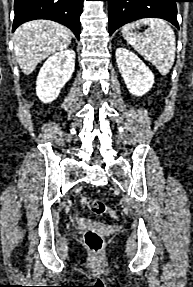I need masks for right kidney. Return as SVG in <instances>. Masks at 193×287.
I'll list each match as a JSON object with an SVG mask.
<instances>
[{"instance_id": "obj_1", "label": "right kidney", "mask_w": 193, "mask_h": 287, "mask_svg": "<svg viewBox=\"0 0 193 287\" xmlns=\"http://www.w3.org/2000/svg\"><path fill=\"white\" fill-rule=\"evenodd\" d=\"M75 67V52L64 50L50 56L36 81V94L43 103L54 101L61 88L70 80Z\"/></svg>"}]
</instances>
